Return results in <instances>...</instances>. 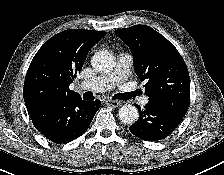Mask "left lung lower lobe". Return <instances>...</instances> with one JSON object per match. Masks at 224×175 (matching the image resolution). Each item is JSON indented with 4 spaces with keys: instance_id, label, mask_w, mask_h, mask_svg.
<instances>
[{
    "instance_id": "1",
    "label": "left lung lower lobe",
    "mask_w": 224,
    "mask_h": 175,
    "mask_svg": "<svg viewBox=\"0 0 224 175\" xmlns=\"http://www.w3.org/2000/svg\"><path fill=\"white\" fill-rule=\"evenodd\" d=\"M137 123L131 125L130 132L145 141H158L169 136L181 123L189 105L162 101H149L141 110Z\"/></svg>"
}]
</instances>
